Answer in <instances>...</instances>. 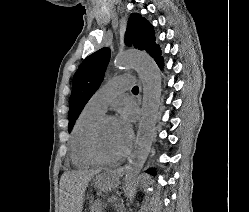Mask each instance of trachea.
I'll list each match as a JSON object with an SVG mask.
<instances>
[{"instance_id": "3493384b", "label": "trachea", "mask_w": 249, "mask_h": 212, "mask_svg": "<svg viewBox=\"0 0 249 212\" xmlns=\"http://www.w3.org/2000/svg\"><path fill=\"white\" fill-rule=\"evenodd\" d=\"M132 90H139V88L137 87V85H135Z\"/></svg>"}]
</instances>
